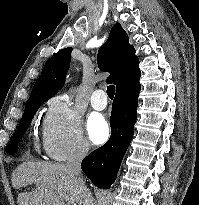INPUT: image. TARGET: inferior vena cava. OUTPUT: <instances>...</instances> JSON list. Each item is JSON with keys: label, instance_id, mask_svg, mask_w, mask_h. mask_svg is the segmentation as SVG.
I'll use <instances>...</instances> for the list:
<instances>
[{"label": "inferior vena cava", "instance_id": "inferior-vena-cava-1", "mask_svg": "<svg viewBox=\"0 0 199 205\" xmlns=\"http://www.w3.org/2000/svg\"><path fill=\"white\" fill-rule=\"evenodd\" d=\"M88 145L82 142L78 147L70 154L67 160V168L73 172L77 182L80 185V189L83 193L84 202L83 205H93V198L90 190L86 187L83 174L81 171V161L88 153Z\"/></svg>", "mask_w": 199, "mask_h": 205}]
</instances>
